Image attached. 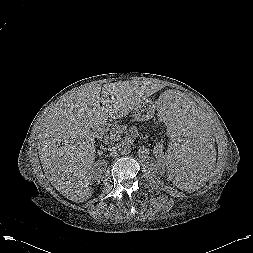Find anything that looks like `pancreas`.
Here are the masks:
<instances>
[{
    "instance_id": "obj_1",
    "label": "pancreas",
    "mask_w": 253,
    "mask_h": 253,
    "mask_svg": "<svg viewBox=\"0 0 253 253\" xmlns=\"http://www.w3.org/2000/svg\"><path fill=\"white\" fill-rule=\"evenodd\" d=\"M99 136L104 135L105 140L108 141H114L118 140L120 137V133L122 132L121 128L117 126L110 127H103L100 129Z\"/></svg>"
}]
</instances>
